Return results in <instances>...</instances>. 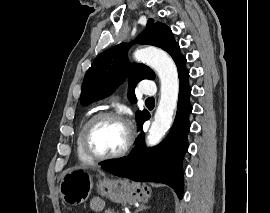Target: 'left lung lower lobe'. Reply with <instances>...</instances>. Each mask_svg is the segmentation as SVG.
Segmentation results:
<instances>
[{"mask_svg":"<svg viewBox=\"0 0 270 213\" xmlns=\"http://www.w3.org/2000/svg\"><path fill=\"white\" fill-rule=\"evenodd\" d=\"M189 71L179 73V97L174 124L166 139L156 147L146 149L144 133L136 139L133 152L127 157L113 160L102 165L103 170L119 177L129 178L138 182H161L169 185L183 197L182 160L188 148L187 133L190 129L189 114L192 106L189 102L191 88L188 83ZM146 117L139 123L142 130Z\"/></svg>","mask_w":270,"mask_h":213,"instance_id":"obj_1","label":"left lung lower lobe"}]
</instances>
